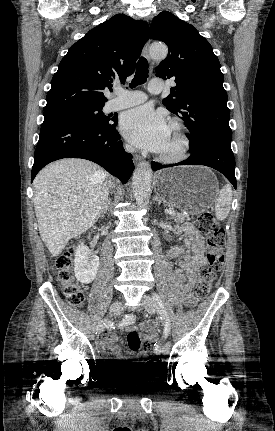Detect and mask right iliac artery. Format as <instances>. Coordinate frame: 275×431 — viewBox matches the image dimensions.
Here are the masks:
<instances>
[{"mask_svg": "<svg viewBox=\"0 0 275 431\" xmlns=\"http://www.w3.org/2000/svg\"><path fill=\"white\" fill-rule=\"evenodd\" d=\"M135 321L134 315H126L118 324H116L118 327H125L133 324ZM106 328L108 329H115V324L107 319H105L104 322Z\"/></svg>", "mask_w": 275, "mask_h": 431, "instance_id": "82829eb1", "label": "right iliac artery"}]
</instances>
